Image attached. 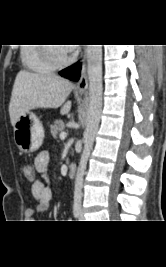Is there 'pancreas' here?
I'll use <instances>...</instances> for the list:
<instances>
[{
	"label": "pancreas",
	"mask_w": 166,
	"mask_h": 267,
	"mask_svg": "<svg viewBox=\"0 0 166 267\" xmlns=\"http://www.w3.org/2000/svg\"><path fill=\"white\" fill-rule=\"evenodd\" d=\"M51 134L56 138L57 134L63 132L64 123L61 120L56 121L53 125L50 126Z\"/></svg>",
	"instance_id": "pancreas-1"
}]
</instances>
